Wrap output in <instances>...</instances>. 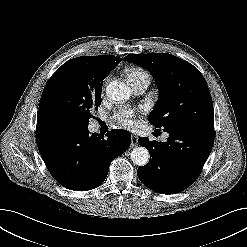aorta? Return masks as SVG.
<instances>
[{
  "label": "aorta",
  "instance_id": "obj_1",
  "mask_svg": "<svg viewBox=\"0 0 247 247\" xmlns=\"http://www.w3.org/2000/svg\"><path fill=\"white\" fill-rule=\"evenodd\" d=\"M106 94L113 101L124 102L130 98L131 90L125 83L113 80L107 85ZM149 158V152L145 147H136L131 152V160L137 166H145Z\"/></svg>",
  "mask_w": 247,
  "mask_h": 247
}]
</instances>
